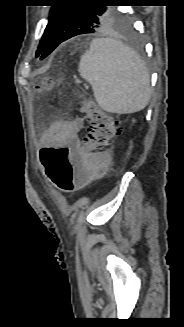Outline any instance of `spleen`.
<instances>
[{"mask_svg": "<svg viewBox=\"0 0 184 327\" xmlns=\"http://www.w3.org/2000/svg\"><path fill=\"white\" fill-rule=\"evenodd\" d=\"M78 71L92 86L98 105L107 112L134 113L149 102L148 70L140 57L119 41L94 39L81 57Z\"/></svg>", "mask_w": 184, "mask_h": 327, "instance_id": "obj_1", "label": "spleen"}]
</instances>
